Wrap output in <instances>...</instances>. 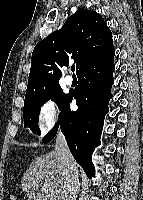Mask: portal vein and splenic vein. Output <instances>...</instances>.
Segmentation results:
<instances>
[{
    "instance_id": "portal-vein-and-splenic-vein-1",
    "label": "portal vein and splenic vein",
    "mask_w": 143,
    "mask_h": 200,
    "mask_svg": "<svg viewBox=\"0 0 143 200\" xmlns=\"http://www.w3.org/2000/svg\"><path fill=\"white\" fill-rule=\"evenodd\" d=\"M42 193L43 195H45V197H49L50 196V192L49 189L45 186H42Z\"/></svg>"
}]
</instances>
